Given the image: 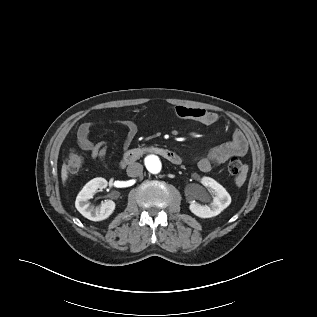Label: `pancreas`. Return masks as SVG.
<instances>
[{"label":"pancreas","instance_id":"pancreas-1","mask_svg":"<svg viewBox=\"0 0 317 317\" xmlns=\"http://www.w3.org/2000/svg\"><path fill=\"white\" fill-rule=\"evenodd\" d=\"M136 151H138V149H132V150H131V152H136Z\"/></svg>","mask_w":317,"mask_h":317}]
</instances>
